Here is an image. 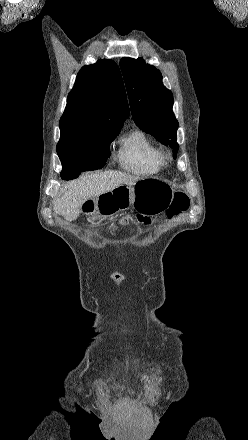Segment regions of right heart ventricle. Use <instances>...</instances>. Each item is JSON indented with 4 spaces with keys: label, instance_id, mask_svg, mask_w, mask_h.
I'll return each mask as SVG.
<instances>
[{
    "label": "right heart ventricle",
    "instance_id": "obj_1",
    "mask_svg": "<svg viewBox=\"0 0 248 440\" xmlns=\"http://www.w3.org/2000/svg\"><path fill=\"white\" fill-rule=\"evenodd\" d=\"M160 149L142 132L135 130L119 142L117 160L125 171L139 176L160 172L162 167Z\"/></svg>",
    "mask_w": 248,
    "mask_h": 440
}]
</instances>
